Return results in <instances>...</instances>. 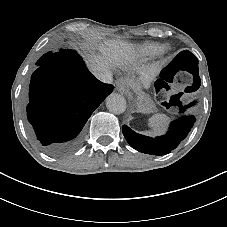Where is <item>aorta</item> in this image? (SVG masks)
Segmentation results:
<instances>
[{"mask_svg":"<svg viewBox=\"0 0 227 227\" xmlns=\"http://www.w3.org/2000/svg\"><path fill=\"white\" fill-rule=\"evenodd\" d=\"M106 107L111 113L121 114L126 110V100L122 95L112 93L106 99Z\"/></svg>","mask_w":227,"mask_h":227,"instance_id":"1","label":"aorta"}]
</instances>
